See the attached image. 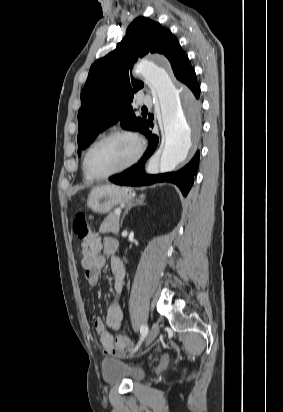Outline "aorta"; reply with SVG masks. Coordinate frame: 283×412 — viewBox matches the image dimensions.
Wrapping results in <instances>:
<instances>
[{
    "instance_id": "obj_1",
    "label": "aorta",
    "mask_w": 283,
    "mask_h": 412,
    "mask_svg": "<svg viewBox=\"0 0 283 412\" xmlns=\"http://www.w3.org/2000/svg\"><path fill=\"white\" fill-rule=\"evenodd\" d=\"M156 93L164 133V146L159 160L161 173L170 172L184 161L191 150L197 133L198 107L185 86L176 87L167 68L152 61L141 60L134 67ZM151 167H148V171Z\"/></svg>"
}]
</instances>
